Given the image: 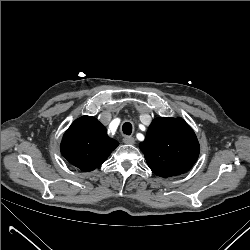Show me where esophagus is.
I'll return each mask as SVG.
<instances>
[{
    "label": "esophagus",
    "mask_w": 250,
    "mask_h": 250,
    "mask_svg": "<svg viewBox=\"0 0 250 250\" xmlns=\"http://www.w3.org/2000/svg\"><path fill=\"white\" fill-rule=\"evenodd\" d=\"M123 142H124L125 144H130V145H132V144L135 143V140H134V138L131 137V136H125V137L123 138Z\"/></svg>",
    "instance_id": "esophagus-1"
}]
</instances>
